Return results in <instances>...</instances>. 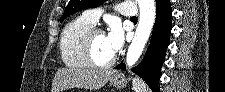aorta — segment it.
<instances>
[{"instance_id":"obj_1","label":"aorta","mask_w":225,"mask_h":92,"mask_svg":"<svg viewBox=\"0 0 225 92\" xmlns=\"http://www.w3.org/2000/svg\"><path fill=\"white\" fill-rule=\"evenodd\" d=\"M138 4L140 8V18L135 36L127 51L126 65L128 67H132L142 54L156 16L154 0H138Z\"/></svg>"}]
</instances>
